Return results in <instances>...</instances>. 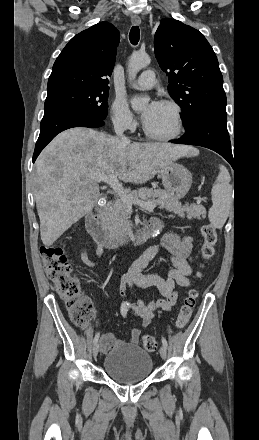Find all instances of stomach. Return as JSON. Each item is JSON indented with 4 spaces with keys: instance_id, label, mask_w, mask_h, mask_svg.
I'll list each match as a JSON object with an SVG mask.
<instances>
[{
    "instance_id": "stomach-1",
    "label": "stomach",
    "mask_w": 259,
    "mask_h": 440,
    "mask_svg": "<svg viewBox=\"0 0 259 440\" xmlns=\"http://www.w3.org/2000/svg\"><path fill=\"white\" fill-rule=\"evenodd\" d=\"M162 184L167 193L182 199L192 184V174L184 166L172 161L160 169Z\"/></svg>"
}]
</instances>
